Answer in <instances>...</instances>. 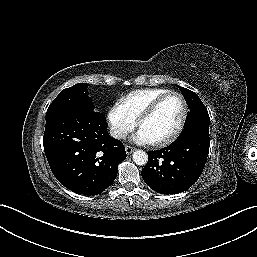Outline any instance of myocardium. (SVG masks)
I'll use <instances>...</instances> for the list:
<instances>
[{
	"label": "myocardium",
	"mask_w": 257,
	"mask_h": 257,
	"mask_svg": "<svg viewBox=\"0 0 257 257\" xmlns=\"http://www.w3.org/2000/svg\"><path fill=\"white\" fill-rule=\"evenodd\" d=\"M176 95L180 98L181 102H182V106H183V112H182V117L181 120L176 128V130L167 138H164L162 140L153 142L152 144L154 146L157 147H163V146H167L171 143H173L182 133L187 118H188V103L186 101V98L184 97V95L178 91H169L168 93L160 96L159 98H157L155 101H153L144 111L143 113L138 117L137 119V127L140 128L141 123L148 119L150 116H152L155 111L159 108V106L170 96Z\"/></svg>",
	"instance_id": "myocardium-1"
}]
</instances>
